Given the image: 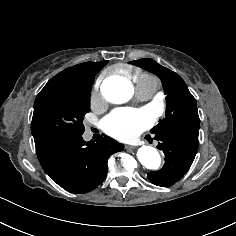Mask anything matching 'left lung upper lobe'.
Masks as SVG:
<instances>
[{
  "instance_id": "obj_1",
  "label": "left lung upper lobe",
  "mask_w": 236,
  "mask_h": 236,
  "mask_svg": "<svg viewBox=\"0 0 236 236\" xmlns=\"http://www.w3.org/2000/svg\"><path fill=\"white\" fill-rule=\"evenodd\" d=\"M155 73L162 81L166 96V117L159 120L151 133L155 139L164 133H176L198 138L199 116L195 98L188 90L184 80L175 72L161 66L152 59H139L129 62Z\"/></svg>"
}]
</instances>
